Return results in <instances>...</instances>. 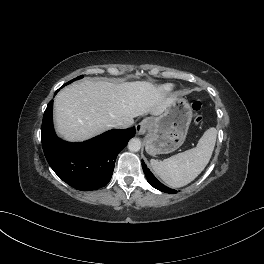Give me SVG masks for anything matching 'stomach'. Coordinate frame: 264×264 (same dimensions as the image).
Instances as JSON below:
<instances>
[{
	"label": "stomach",
	"instance_id": "obj_1",
	"mask_svg": "<svg viewBox=\"0 0 264 264\" xmlns=\"http://www.w3.org/2000/svg\"><path fill=\"white\" fill-rule=\"evenodd\" d=\"M193 116L185 98H176L166 111L151 118L152 125L145 141L148 154H167L178 149L185 141Z\"/></svg>",
	"mask_w": 264,
	"mask_h": 264
}]
</instances>
